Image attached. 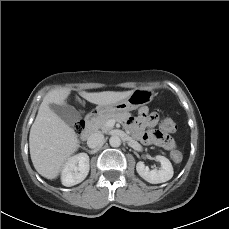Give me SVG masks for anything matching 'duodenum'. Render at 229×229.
<instances>
[{
  "instance_id": "410a0bca",
  "label": "duodenum",
  "mask_w": 229,
  "mask_h": 229,
  "mask_svg": "<svg viewBox=\"0 0 229 229\" xmlns=\"http://www.w3.org/2000/svg\"><path fill=\"white\" fill-rule=\"evenodd\" d=\"M98 120V114L96 113H89L84 120L85 127L81 134V140H87L96 130L95 123Z\"/></svg>"
}]
</instances>
